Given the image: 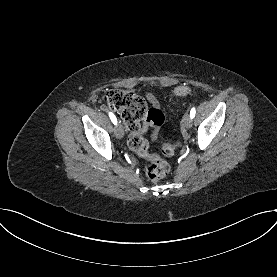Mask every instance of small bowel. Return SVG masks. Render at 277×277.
Instances as JSON below:
<instances>
[{
    "mask_svg": "<svg viewBox=\"0 0 277 277\" xmlns=\"http://www.w3.org/2000/svg\"><path fill=\"white\" fill-rule=\"evenodd\" d=\"M146 97H147L148 101L151 103V105L153 106V108L159 109V107H160L159 102H158V100L156 99V97L152 93H148L146 95ZM149 127H150L149 124L144 123L141 126L142 133H145L148 130Z\"/></svg>",
    "mask_w": 277,
    "mask_h": 277,
    "instance_id": "obj_1",
    "label": "small bowel"
}]
</instances>
